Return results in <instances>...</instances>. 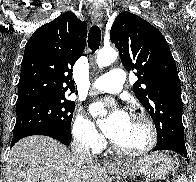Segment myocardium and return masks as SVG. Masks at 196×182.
Returning a JSON list of instances; mask_svg holds the SVG:
<instances>
[{"mask_svg":"<svg viewBox=\"0 0 196 182\" xmlns=\"http://www.w3.org/2000/svg\"><path fill=\"white\" fill-rule=\"evenodd\" d=\"M131 117L141 120L147 127L148 135H149L147 144L143 148L137 150H131V149L123 148L119 146L117 143H115V141H112V147L116 152L122 155L130 156V157H138V156L145 155L146 153H148L153 149L157 141V130L153 121L147 115L143 113H132Z\"/></svg>","mask_w":196,"mask_h":182,"instance_id":"f54148a6","label":"myocardium"}]
</instances>
